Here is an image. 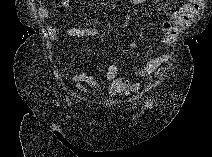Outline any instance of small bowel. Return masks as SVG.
I'll return each mask as SVG.
<instances>
[{"instance_id":"c3829d8e","label":"small bowel","mask_w":212,"mask_h":157,"mask_svg":"<svg viewBox=\"0 0 212 157\" xmlns=\"http://www.w3.org/2000/svg\"><path fill=\"white\" fill-rule=\"evenodd\" d=\"M71 0H61V5L64 8L69 7ZM198 10V3L195 1H187L177 10L170 14L168 20L164 21L161 25L163 37L160 39V43L165 46H172L177 40L178 34L188 25L190 20L194 17ZM38 16L40 20L45 21L49 17V11L42 3L38 7ZM48 34L52 40H57L60 35H66L69 37H87L100 35L101 33L93 28L89 27H72V28H60L55 22L46 24ZM171 61V57L168 53L155 56L149 59L146 64L137 70L138 77L144 78L154 74L161 66L168 64ZM119 69L116 65L111 64L106 71V81L110 84L109 94L114 96L117 94L127 93L129 90L138 89L139 84L137 82H131L129 80H123L118 77ZM72 80L76 84V87L81 91L95 95L96 91L102 88L100 82L94 79L87 73L76 74L72 77ZM86 84L88 88L83 87Z\"/></svg>"}]
</instances>
